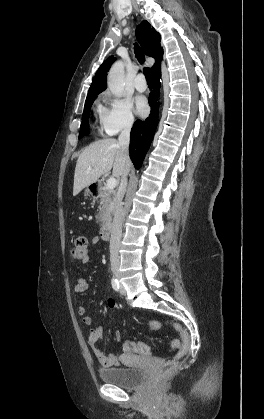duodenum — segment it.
Here are the masks:
<instances>
[{"label":"duodenum","mask_w":264,"mask_h":419,"mask_svg":"<svg viewBox=\"0 0 264 419\" xmlns=\"http://www.w3.org/2000/svg\"><path fill=\"white\" fill-rule=\"evenodd\" d=\"M92 189H93V192L96 193L97 187L96 186H93ZM112 230H113V226H112L111 223L104 224L102 226L101 232H100V235H101L102 239H104V240L110 239L111 236H112Z\"/></svg>","instance_id":"410a0bca"}]
</instances>
